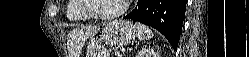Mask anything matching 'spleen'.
Segmentation results:
<instances>
[{
  "instance_id": "3e777b00",
  "label": "spleen",
  "mask_w": 249,
  "mask_h": 57,
  "mask_svg": "<svg viewBox=\"0 0 249 57\" xmlns=\"http://www.w3.org/2000/svg\"><path fill=\"white\" fill-rule=\"evenodd\" d=\"M135 27L137 28V37L140 41L150 39L154 36L152 31L142 23H135Z\"/></svg>"
}]
</instances>
